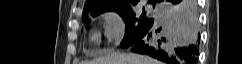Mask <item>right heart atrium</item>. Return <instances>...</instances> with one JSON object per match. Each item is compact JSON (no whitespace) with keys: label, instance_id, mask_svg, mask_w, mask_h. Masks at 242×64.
Returning <instances> with one entry per match:
<instances>
[{"label":"right heart atrium","instance_id":"right-heart-atrium-1","mask_svg":"<svg viewBox=\"0 0 242 64\" xmlns=\"http://www.w3.org/2000/svg\"><path fill=\"white\" fill-rule=\"evenodd\" d=\"M102 24L105 38L109 44L121 41L125 34L126 23L122 15L115 11H106L102 16Z\"/></svg>","mask_w":242,"mask_h":64}]
</instances>
